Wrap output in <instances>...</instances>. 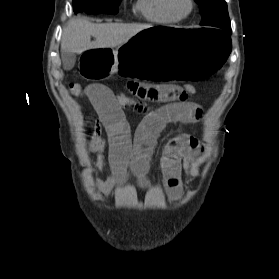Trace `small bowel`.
Segmentation results:
<instances>
[{"instance_id": "1", "label": "small bowel", "mask_w": 279, "mask_h": 279, "mask_svg": "<svg viewBox=\"0 0 279 279\" xmlns=\"http://www.w3.org/2000/svg\"><path fill=\"white\" fill-rule=\"evenodd\" d=\"M127 86L134 97L164 104L159 108L146 105L132 109L142 115L133 138L123 106L115 100L108 87L91 84L86 87L83 95L90 101L97 116L87 124L90 150L105 152L106 143L101 139L100 132L104 129L108 134V159L114 177L96 182L102 196L129 172L145 183L157 138L165 126L169 123H196L203 113L199 104L177 96L179 86L149 85L135 81H129ZM201 150L199 140L189 134H181L166 144L160 165L163 184L170 199L177 200L182 196V170L189 173L192 162Z\"/></svg>"}]
</instances>
